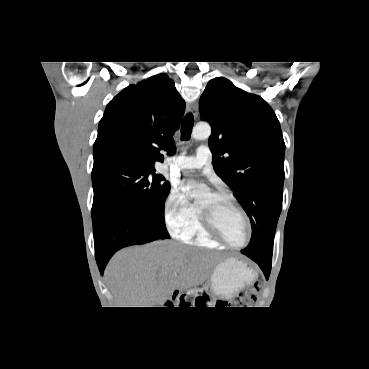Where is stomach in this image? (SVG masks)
I'll return each mask as SVG.
<instances>
[{
    "instance_id": "stomach-1",
    "label": "stomach",
    "mask_w": 369,
    "mask_h": 369,
    "mask_svg": "<svg viewBox=\"0 0 369 369\" xmlns=\"http://www.w3.org/2000/svg\"><path fill=\"white\" fill-rule=\"evenodd\" d=\"M253 278L254 274L246 264L230 258L215 267L211 276V287L216 295L229 298Z\"/></svg>"
}]
</instances>
